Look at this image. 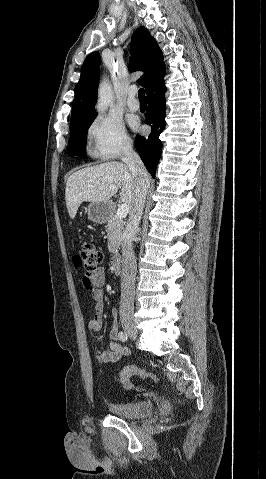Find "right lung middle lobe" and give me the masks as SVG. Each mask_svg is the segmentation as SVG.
<instances>
[{
  "instance_id": "right-lung-middle-lobe-1",
  "label": "right lung middle lobe",
  "mask_w": 266,
  "mask_h": 479,
  "mask_svg": "<svg viewBox=\"0 0 266 479\" xmlns=\"http://www.w3.org/2000/svg\"><path fill=\"white\" fill-rule=\"evenodd\" d=\"M95 118H96V115L87 117L81 120H77L71 123L69 154L72 157L74 155L84 157V154L86 151L85 146H86L87 131Z\"/></svg>"
}]
</instances>
